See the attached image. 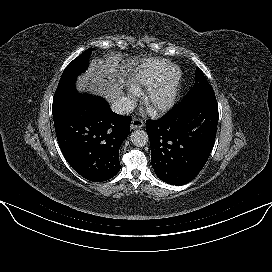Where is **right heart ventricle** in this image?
Listing matches in <instances>:
<instances>
[{"label":"right heart ventricle","mask_w":272,"mask_h":272,"mask_svg":"<svg viewBox=\"0 0 272 272\" xmlns=\"http://www.w3.org/2000/svg\"><path fill=\"white\" fill-rule=\"evenodd\" d=\"M164 59H146L132 72L128 87L135 93L152 86L169 67Z\"/></svg>","instance_id":"right-heart-ventricle-1"}]
</instances>
